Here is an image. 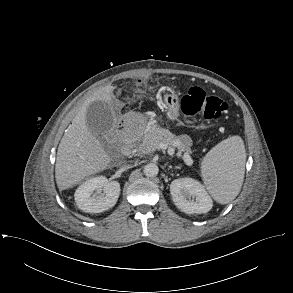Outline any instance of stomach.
Segmentation results:
<instances>
[{
  "mask_svg": "<svg viewBox=\"0 0 293 293\" xmlns=\"http://www.w3.org/2000/svg\"><path fill=\"white\" fill-rule=\"evenodd\" d=\"M163 106L168 120H176L179 116V97L176 93H166L163 96Z\"/></svg>",
  "mask_w": 293,
  "mask_h": 293,
  "instance_id": "obj_1",
  "label": "stomach"
}]
</instances>
